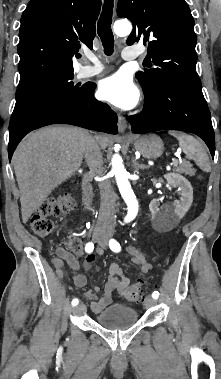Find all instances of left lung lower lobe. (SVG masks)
<instances>
[{"label":"left lung lower lobe","mask_w":221,"mask_h":379,"mask_svg":"<svg viewBox=\"0 0 221 379\" xmlns=\"http://www.w3.org/2000/svg\"><path fill=\"white\" fill-rule=\"evenodd\" d=\"M142 112L129 117L132 132L145 134L158 130H181L201 137L215 152L211 114L202 89H191L165 82H155L144 91Z\"/></svg>","instance_id":"0a47b994"}]
</instances>
